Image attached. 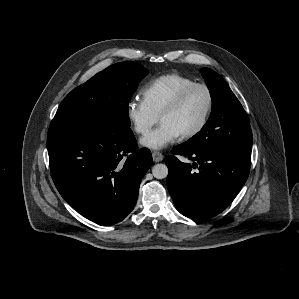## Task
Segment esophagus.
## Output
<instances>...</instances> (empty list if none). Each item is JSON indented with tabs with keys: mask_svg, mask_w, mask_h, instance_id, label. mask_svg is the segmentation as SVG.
<instances>
[{
	"mask_svg": "<svg viewBox=\"0 0 299 299\" xmlns=\"http://www.w3.org/2000/svg\"><path fill=\"white\" fill-rule=\"evenodd\" d=\"M152 157H153L154 162H160L164 158L162 153L158 152V151H153L152 152Z\"/></svg>",
	"mask_w": 299,
	"mask_h": 299,
	"instance_id": "obj_1",
	"label": "esophagus"
}]
</instances>
